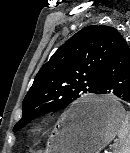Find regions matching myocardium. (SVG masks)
Segmentation results:
<instances>
[{"instance_id":"1","label":"myocardium","mask_w":130,"mask_h":153,"mask_svg":"<svg viewBox=\"0 0 130 153\" xmlns=\"http://www.w3.org/2000/svg\"><path fill=\"white\" fill-rule=\"evenodd\" d=\"M45 130H46V125L39 123L31 129V135L38 136L42 134Z\"/></svg>"}]
</instances>
